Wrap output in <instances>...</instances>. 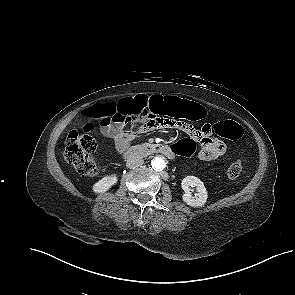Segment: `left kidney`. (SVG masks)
I'll return each mask as SVG.
<instances>
[{"mask_svg": "<svg viewBox=\"0 0 295 295\" xmlns=\"http://www.w3.org/2000/svg\"><path fill=\"white\" fill-rule=\"evenodd\" d=\"M181 187L184 190L182 196L183 201L191 207H202L208 197L207 190L203 182L195 176H187L181 182ZM191 187H196L197 192L195 195L191 194Z\"/></svg>", "mask_w": 295, "mask_h": 295, "instance_id": "5707ae66", "label": "left kidney"}]
</instances>
